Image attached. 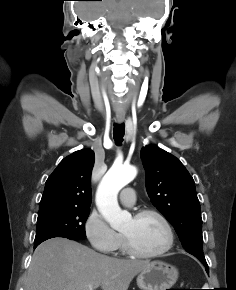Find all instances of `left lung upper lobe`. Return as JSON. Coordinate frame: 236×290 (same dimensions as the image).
Returning <instances> with one entry per match:
<instances>
[{"mask_svg": "<svg viewBox=\"0 0 236 290\" xmlns=\"http://www.w3.org/2000/svg\"><path fill=\"white\" fill-rule=\"evenodd\" d=\"M141 159L152 204L175 228L185 250L208 267L203 254L202 218L193 178L180 160L158 146L143 147Z\"/></svg>", "mask_w": 236, "mask_h": 290, "instance_id": "1", "label": "left lung upper lobe"}]
</instances>
